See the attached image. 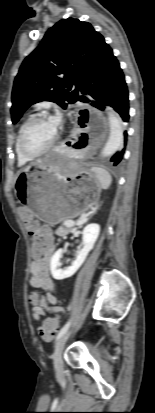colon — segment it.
Segmentation results:
<instances>
[{
    "label": "colon",
    "instance_id": "colon-1",
    "mask_svg": "<svg viewBox=\"0 0 155 413\" xmlns=\"http://www.w3.org/2000/svg\"><path fill=\"white\" fill-rule=\"evenodd\" d=\"M30 233L34 237L32 256L35 260H42L47 250L46 239L43 236H41L37 231H30ZM32 300L36 301V297L33 296ZM58 323V317H48L44 320L42 327L40 329V334L44 340H51V338L58 329Z\"/></svg>",
    "mask_w": 155,
    "mask_h": 413
}]
</instances>
